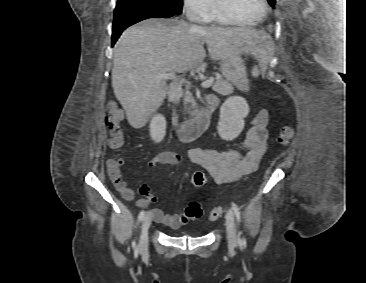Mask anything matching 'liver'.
Segmentation results:
<instances>
[{
    "label": "liver",
    "instance_id": "6515ba94",
    "mask_svg": "<svg viewBox=\"0 0 366 283\" xmlns=\"http://www.w3.org/2000/svg\"><path fill=\"white\" fill-rule=\"evenodd\" d=\"M269 37L249 27H203L178 18L146 19L126 29L114 47L112 87L129 124L141 128L167 96L160 75L183 73L209 56L217 61L234 52L263 58Z\"/></svg>",
    "mask_w": 366,
    "mask_h": 283
}]
</instances>
